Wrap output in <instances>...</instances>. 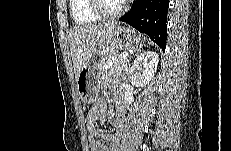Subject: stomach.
<instances>
[{"instance_id":"0dacf381","label":"stomach","mask_w":231,"mask_h":151,"mask_svg":"<svg viewBox=\"0 0 231 151\" xmlns=\"http://www.w3.org/2000/svg\"><path fill=\"white\" fill-rule=\"evenodd\" d=\"M143 37L135 30L117 26L106 50L94 54L83 65L76 80L78 94L84 104L94 103L100 91L101 70L106 61L118 50L136 51L143 45Z\"/></svg>"}]
</instances>
